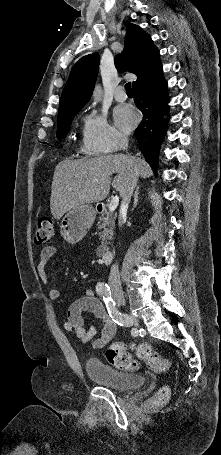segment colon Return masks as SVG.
Listing matches in <instances>:
<instances>
[{
	"mask_svg": "<svg viewBox=\"0 0 221 455\" xmlns=\"http://www.w3.org/2000/svg\"><path fill=\"white\" fill-rule=\"evenodd\" d=\"M55 237L54 224L51 218H42L38 221L34 239L37 245H48ZM129 350H134L137 357L144 361L146 366L156 372H168L170 363L155 352L152 346L147 342L138 344H125L116 341L112 343L106 350L107 361L116 368L123 370H135L139 367V363L132 357ZM168 387H162L154 396L153 403L156 406L164 405L169 398Z\"/></svg>",
	"mask_w": 221,
	"mask_h": 455,
	"instance_id": "5ec220e1",
	"label": "colon"
}]
</instances>
